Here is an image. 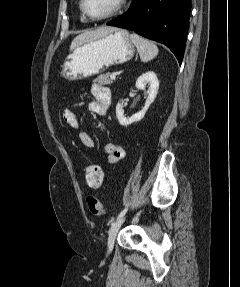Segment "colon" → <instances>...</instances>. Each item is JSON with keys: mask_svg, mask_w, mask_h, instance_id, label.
Segmentation results:
<instances>
[{"mask_svg": "<svg viewBox=\"0 0 240 287\" xmlns=\"http://www.w3.org/2000/svg\"><path fill=\"white\" fill-rule=\"evenodd\" d=\"M85 179L87 185L92 189H98L102 186L104 174L102 168L97 164H90L85 168ZM90 212L96 216H104L106 209L103 201L95 196L87 199Z\"/></svg>", "mask_w": 240, "mask_h": 287, "instance_id": "5ec220e1", "label": "colon"}]
</instances>
